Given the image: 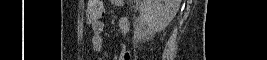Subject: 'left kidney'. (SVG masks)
I'll return each instance as SVG.
<instances>
[{
	"label": "left kidney",
	"mask_w": 267,
	"mask_h": 60,
	"mask_svg": "<svg viewBox=\"0 0 267 60\" xmlns=\"http://www.w3.org/2000/svg\"><path fill=\"white\" fill-rule=\"evenodd\" d=\"M179 6V0H146L140 6V19L152 32H160L176 16Z\"/></svg>",
	"instance_id": "left-kidney-1"
}]
</instances>
